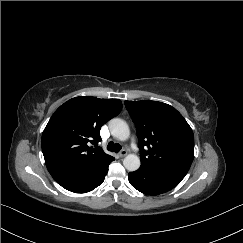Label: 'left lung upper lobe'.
Segmentation results:
<instances>
[{"mask_svg":"<svg viewBox=\"0 0 243 243\" xmlns=\"http://www.w3.org/2000/svg\"><path fill=\"white\" fill-rule=\"evenodd\" d=\"M135 123L141 167L171 163L190 164L194 157V135L183 116L172 106L158 101H125ZM144 148L148 150L145 151Z\"/></svg>","mask_w":243,"mask_h":243,"instance_id":"5c2ea615","label":"left lung upper lobe"}]
</instances>
